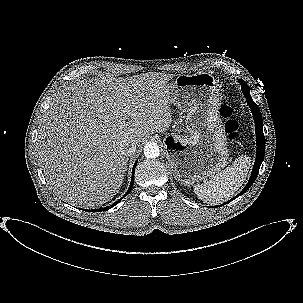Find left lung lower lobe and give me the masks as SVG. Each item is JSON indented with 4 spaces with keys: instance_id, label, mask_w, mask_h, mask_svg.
<instances>
[{
    "instance_id": "1",
    "label": "left lung lower lobe",
    "mask_w": 303,
    "mask_h": 303,
    "mask_svg": "<svg viewBox=\"0 0 303 303\" xmlns=\"http://www.w3.org/2000/svg\"><path fill=\"white\" fill-rule=\"evenodd\" d=\"M240 83L242 86L243 95L245 96L246 101H247L248 105L250 106V109L253 113V118H254V122H255V130H256L257 153H256L255 164H254V167H253V170L251 173V177H250L247 185L233 199L244 194L254 183V181L258 175L261 163L264 159V150H265V137L263 134V119H262L260 110L250 96V89H249L248 85L243 80H240ZM233 199L229 200L228 202H231ZM228 202H226V203H228ZM226 203H224V204H226ZM224 204H222V205H224Z\"/></svg>"
}]
</instances>
